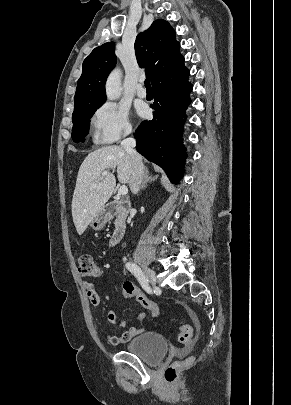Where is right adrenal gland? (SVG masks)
Masks as SVG:
<instances>
[{"instance_id":"2a0ac1e0","label":"right adrenal gland","mask_w":291,"mask_h":405,"mask_svg":"<svg viewBox=\"0 0 291 405\" xmlns=\"http://www.w3.org/2000/svg\"><path fill=\"white\" fill-rule=\"evenodd\" d=\"M157 177H158L157 175L156 176H150L148 168H146L145 169L144 180H143V183H142V186H141V190H143L146 187L147 183L154 181L155 179H157Z\"/></svg>"}]
</instances>
